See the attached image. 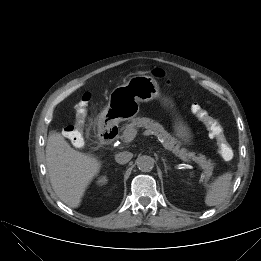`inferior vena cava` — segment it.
<instances>
[{"instance_id": "inferior-vena-cava-1", "label": "inferior vena cava", "mask_w": 261, "mask_h": 261, "mask_svg": "<svg viewBox=\"0 0 261 261\" xmlns=\"http://www.w3.org/2000/svg\"><path fill=\"white\" fill-rule=\"evenodd\" d=\"M132 157H133L132 153L124 151L116 154L115 160L119 164H126L131 160Z\"/></svg>"}]
</instances>
